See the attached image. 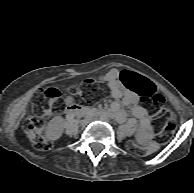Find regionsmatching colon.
I'll return each mask as SVG.
<instances>
[{
  "label": "colon",
  "instance_id": "colon-1",
  "mask_svg": "<svg viewBox=\"0 0 194 193\" xmlns=\"http://www.w3.org/2000/svg\"><path fill=\"white\" fill-rule=\"evenodd\" d=\"M121 80L126 87L137 92L139 100L148 106L154 117V127L158 130V139L164 141L171 137L176 126L169 116L170 108L165 104L163 96L155 91L149 81L135 73L123 72ZM80 90V99L94 102L102 94V82L99 79H88L81 85ZM63 103L61 92L55 88H48L41 95L35 113L25 121L26 136L37 150L46 151L53 147V142L45 132L44 119L52 112L59 111ZM128 148L136 155L146 156L155 152L158 144L154 142L148 147H141L131 142Z\"/></svg>",
  "mask_w": 194,
  "mask_h": 193
}]
</instances>
